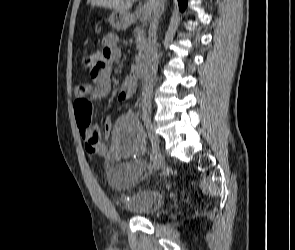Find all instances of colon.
<instances>
[{
	"label": "colon",
	"instance_id": "5ec220e1",
	"mask_svg": "<svg viewBox=\"0 0 295 250\" xmlns=\"http://www.w3.org/2000/svg\"><path fill=\"white\" fill-rule=\"evenodd\" d=\"M93 63L94 61L92 54H85L82 56L81 66L84 69H91ZM74 110L79 128L85 129L90 127L93 114V106L90 100L85 98L76 100L74 104Z\"/></svg>",
	"mask_w": 295,
	"mask_h": 250
}]
</instances>
